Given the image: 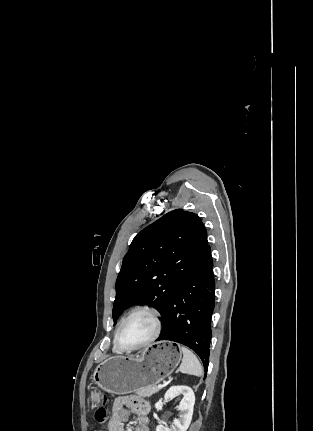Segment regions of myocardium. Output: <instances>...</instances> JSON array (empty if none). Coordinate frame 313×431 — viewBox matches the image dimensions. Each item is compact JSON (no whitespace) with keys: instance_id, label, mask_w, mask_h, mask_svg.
I'll return each mask as SVG.
<instances>
[{"instance_id":"obj_1","label":"myocardium","mask_w":313,"mask_h":431,"mask_svg":"<svg viewBox=\"0 0 313 431\" xmlns=\"http://www.w3.org/2000/svg\"><path fill=\"white\" fill-rule=\"evenodd\" d=\"M141 312L149 314L154 321L155 328H154V332H153L152 336L148 340H146L145 342H143L137 346L128 347V348L123 347L119 342V334H120L123 326L126 324V322L132 316H134L137 313H141ZM161 331H162V318H161L160 313L150 306H139V307L132 309L124 317V319L120 322L119 326L116 329L115 335H114V344H115L116 348L121 352H132V351L140 350V349H143V348L151 345L159 337Z\"/></svg>"}]
</instances>
